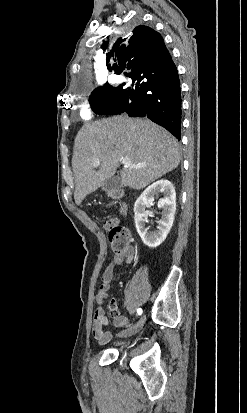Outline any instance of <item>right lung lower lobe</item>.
I'll return each mask as SVG.
<instances>
[{
  "mask_svg": "<svg viewBox=\"0 0 247 413\" xmlns=\"http://www.w3.org/2000/svg\"><path fill=\"white\" fill-rule=\"evenodd\" d=\"M132 88L121 85L104 115L127 113L130 117H148L163 126L178 140L181 135V94L178 71L173 60L153 73L128 76Z\"/></svg>",
  "mask_w": 247,
  "mask_h": 413,
  "instance_id": "1",
  "label": "right lung lower lobe"
}]
</instances>
